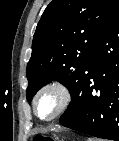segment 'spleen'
Masks as SVG:
<instances>
[{"instance_id": "3e777b00", "label": "spleen", "mask_w": 119, "mask_h": 141, "mask_svg": "<svg viewBox=\"0 0 119 141\" xmlns=\"http://www.w3.org/2000/svg\"><path fill=\"white\" fill-rule=\"evenodd\" d=\"M88 141H95L94 139H88Z\"/></svg>"}]
</instances>
